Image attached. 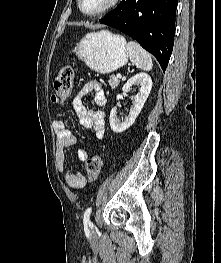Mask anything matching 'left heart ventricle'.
I'll return each mask as SVG.
<instances>
[{"instance_id": "b2bd125f", "label": "left heart ventricle", "mask_w": 221, "mask_h": 263, "mask_svg": "<svg viewBox=\"0 0 221 263\" xmlns=\"http://www.w3.org/2000/svg\"><path fill=\"white\" fill-rule=\"evenodd\" d=\"M109 0H82L83 9L87 12H95L101 9Z\"/></svg>"}]
</instances>
